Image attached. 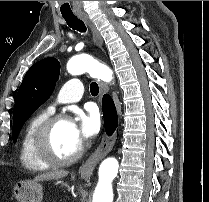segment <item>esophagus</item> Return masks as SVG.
Masks as SVG:
<instances>
[{"mask_svg": "<svg viewBox=\"0 0 209 202\" xmlns=\"http://www.w3.org/2000/svg\"><path fill=\"white\" fill-rule=\"evenodd\" d=\"M77 15L80 19L84 20L90 27L97 48L103 50L102 39L94 23L89 19L88 15L84 12H80ZM98 84L101 94L108 92V87L104 82L99 81ZM115 140H116V134H114L112 137H108L105 133L103 134L101 143L95 149V151L90 155V157L85 161V163L82 165L80 169L79 173L83 179H88L92 176L93 171L97 166V164L112 150L115 144Z\"/></svg>", "mask_w": 209, "mask_h": 202, "instance_id": "esophagus-1", "label": "esophagus"}]
</instances>
